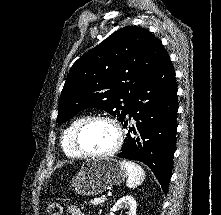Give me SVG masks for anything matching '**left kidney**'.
<instances>
[{"mask_svg": "<svg viewBox=\"0 0 221 215\" xmlns=\"http://www.w3.org/2000/svg\"><path fill=\"white\" fill-rule=\"evenodd\" d=\"M136 201L132 196H123L119 199L115 205L112 207L110 215H114L112 212H115L120 209H127L128 215H136Z\"/></svg>", "mask_w": 221, "mask_h": 215, "instance_id": "obj_1", "label": "left kidney"}]
</instances>
